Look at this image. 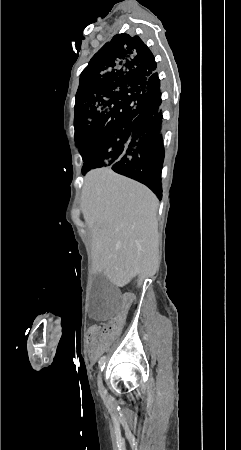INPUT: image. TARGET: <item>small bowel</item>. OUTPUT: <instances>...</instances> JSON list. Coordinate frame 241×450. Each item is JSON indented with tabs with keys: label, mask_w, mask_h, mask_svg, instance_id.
Listing matches in <instances>:
<instances>
[{
	"label": "small bowel",
	"mask_w": 241,
	"mask_h": 450,
	"mask_svg": "<svg viewBox=\"0 0 241 450\" xmlns=\"http://www.w3.org/2000/svg\"><path fill=\"white\" fill-rule=\"evenodd\" d=\"M121 307L123 309H128L130 307V302L128 300H123L121 302ZM117 315H118V317L120 319H125L127 317V312L125 310H120ZM113 326L114 327H111V328H108V327L105 328L103 330V333L105 335H107V336L108 335L114 336L118 332L117 329H119V328H121L123 326V323L121 321H119V320H116V321H114ZM87 332H88L89 335L92 336V335L95 334L96 331H95L94 328L91 327V328L88 329ZM102 352H103V346L102 345H100V344H92V345H90L89 355H90L92 360L98 359V357L102 354Z\"/></svg>",
	"instance_id": "1"
}]
</instances>
